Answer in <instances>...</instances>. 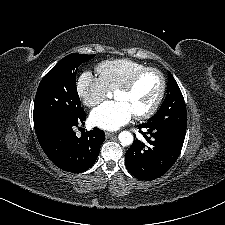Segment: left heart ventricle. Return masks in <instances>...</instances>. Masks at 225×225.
I'll return each mask as SVG.
<instances>
[{
    "label": "left heart ventricle",
    "mask_w": 225,
    "mask_h": 225,
    "mask_svg": "<svg viewBox=\"0 0 225 225\" xmlns=\"http://www.w3.org/2000/svg\"><path fill=\"white\" fill-rule=\"evenodd\" d=\"M160 87L159 77L152 72L140 78L132 91L115 92L116 101L123 103L133 115L143 113L154 102Z\"/></svg>",
    "instance_id": "obj_1"
}]
</instances>
